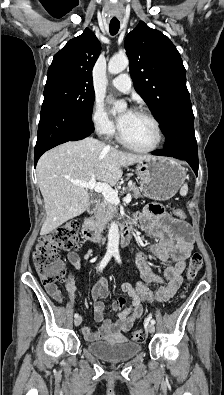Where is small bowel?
<instances>
[{
	"label": "small bowel",
	"instance_id": "small-bowel-1",
	"mask_svg": "<svg viewBox=\"0 0 224 395\" xmlns=\"http://www.w3.org/2000/svg\"><path fill=\"white\" fill-rule=\"evenodd\" d=\"M134 221H139L142 229L157 241L149 246V252L166 264L163 275L155 273L147 262L144 252H139L136 264L140 271L142 282L133 287L129 283L121 285V290L131 299V305L117 315L115 322L106 319L105 308L101 299L107 297V281L98 278L92 288L94 300V316L101 325L96 331H91L87 325L82 327L86 340L94 341L110 335L124 333L131 329L134 322L143 313V304L156 299L159 302L170 300L178 290L186 262L190 257L194 236L190 225L182 220L171 217L160 205L150 204L142 213L134 215ZM69 262L77 269L80 268V258L75 251L68 252ZM150 283L159 285L154 295ZM47 292L57 301L63 298L62 292L54 284H44ZM66 289L72 299L76 297V286L72 277L66 281Z\"/></svg>",
	"mask_w": 224,
	"mask_h": 395
}]
</instances>
